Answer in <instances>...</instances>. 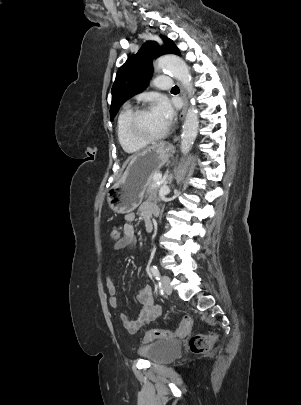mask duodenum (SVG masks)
Instances as JSON below:
<instances>
[{
    "mask_svg": "<svg viewBox=\"0 0 301 405\" xmlns=\"http://www.w3.org/2000/svg\"><path fill=\"white\" fill-rule=\"evenodd\" d=\"M145 228L147 232H151L153 230V222L152 220H147L145 222Z\"/></svg>",
    "mask_w": 301,
    "mask_h": 405,
    "instance_id": "duodenum-1",
    "label": "duodenum"
}]
</instances>
